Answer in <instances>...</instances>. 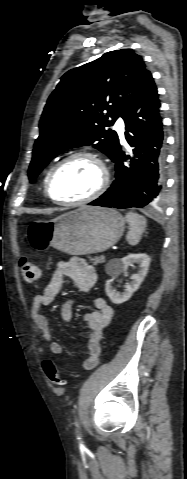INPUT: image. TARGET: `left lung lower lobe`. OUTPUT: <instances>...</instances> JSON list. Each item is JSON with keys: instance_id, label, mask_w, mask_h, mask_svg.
Segmentation results:
<instances>
[{"instance_id": "1", "label": "left lung lower lobe", "mask_w": 187, "mask_h": 479, "mask_svg": "<svg viewBox=\"0 0 187 479\" xmlns=\"http://www.w3.org/2000/svg\"><path fill=\"white\" fill-rule=\"evenodd\" d=\"M126 140L134 158L121 149L114 158L116 180L89 205L119 209L154 205L165 190V141L160 101L152 75L145 78L140 93L124 119ZM127 159L130 160L126 164Z\"/></svg>"}]
</instances>
